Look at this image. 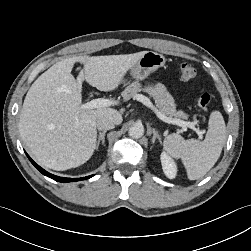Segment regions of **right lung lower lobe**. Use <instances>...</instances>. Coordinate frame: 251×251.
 Here are the masks:
<instances>
[{"mask_svg": "<svg viewBox=\"0 0 251 251\" xmlns=\"http://www.w3.org/2000/svg\"><path fill=\"white\" fill-rule=\"evenodd\" d=\"M27 157L29 158V160L31 161V163L45 176H48L49 178L55 180V181H58V182H73V181H79V180H85V179H88L90 177H92L93 175L91 176H86V177H82V178H64V177H59V176H55L47 171H45L43 168H41L39 165H37L30 157L29 155L26 153Z\"/></svg>", "mask_w": 251, "mask_h": 251, "instance_id": "98d812e1", "label": "right lung lower lobe"}]
</instances>
